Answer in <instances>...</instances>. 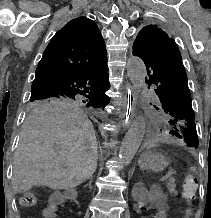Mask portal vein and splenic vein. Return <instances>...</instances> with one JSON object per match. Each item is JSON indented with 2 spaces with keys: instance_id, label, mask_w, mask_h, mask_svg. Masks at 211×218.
Instances as JSON below:
<instances>
[{
  "instance_id": "18ae733b",
  "label": "portal vein and splenic vein",
  "mask_w": 211,
  "mask_h": 218,
  "mask_svg": "<svg viewBox=\"0 0 211 218\" xmlns=\"http://www.w3.org/2000/svg\"><path fill=\"white\" fill-rule=\"evenodd\" d=\"M172 174H176L175 172H168V174H166V176H164V178H171Z\"/></svg>"
}]
</instances>
